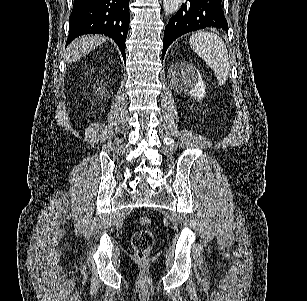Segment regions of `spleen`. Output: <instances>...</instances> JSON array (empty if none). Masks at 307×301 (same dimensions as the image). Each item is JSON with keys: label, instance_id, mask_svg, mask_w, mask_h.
<instances>
[{"label": "spleen", "instance_id": "3e777b00", "mask_svg": "<svg viewBox=\"0 0 307 301\" xmlns=\"http://www.w3.org/2000/svg\"><path fill=\"white\" fill-rule=\"evenodd\" d=\"M190 46L199 54L206 64L214 70L220 84H225L230 70L227 46L221 36L215 32H193L189 38Z\"/></svg>", "mask_w": 307, "mask_h": 301}]
</instances>
